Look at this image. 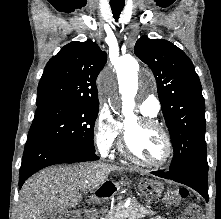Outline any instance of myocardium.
I'll list each match as a JSON object with an SVG mask.
<instances>
[{"instance_id":"obj_1","label":"myocardium","mask_w":221,"mask_h":219,"mask_svg":"<svg viewBox=\"0 0 221 219\" xmlns=\"http://www.w3.org/2000/svg\"><path fill=\"white\" fill-rule=\"evenodd\" d=\"M137 122L141 126L156 129L162 134L165 140V146H166L164 157L160 162H157V163H147L145 161L140 160L138 157H136L129 147L126 127H124L123 136H122L121 143H120L121 154L126 159L130 160L131 162L147 169H153V170L161 169L165 167L166 165H168L174 153L173 143H172V139H171L169 132L158 121L148 118V117H138Z\"/></svg>"}]
</instances>
